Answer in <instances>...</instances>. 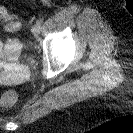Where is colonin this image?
<instances>
[{
  "mask_svg": "<svg viewBox=\"0 0 133 133\" xmlns=\"http://www.w3.org/2000/svg\"><path fill=\"white\" fill-rule=\"evenodd\" d=\"M0 21H7V27L11 30H16L20 26V22L14 14L10 13L5 7L0 6ZM17 100V96L13 91H7L3 97L1 102L7 106H11L15 104Z\"/></svg>",
  "mask_w": 133,
  "mask_h": 133,
  "instance_id": "colon-1",
  "label": "colon"
}]
</instances>
